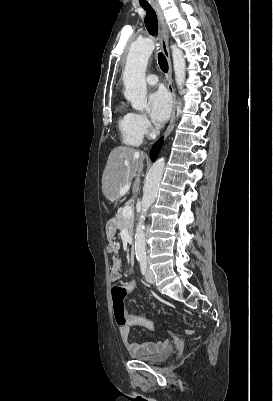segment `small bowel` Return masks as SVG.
<instances>
[{
  "label": "small bowel",
  "mask_w": 273,
  "mask_h": 401,
  "mask_svg": "<svg viewBox=\"0 0 273 401\" xmlns=\"http://www.w3.org/2000/svg\"><path fill=\"white\" fill-rule=\"evenodd\" d=\"M121 268H122V260L118 257H114L111 260L110 266V280L112 282H117L121 278ZM127 323L119 328V334L122 341L129 347V350L134 356H143V355H155L165 350L168 347V343L166 341L159 342H145L142 344H133L129 341V329L131 327H138L153 330L154 326L150 319L146 316L135 315L132 313H126ZM187 334L192 332L190 327L185 329Z\"/></svg>",
  "instance_id": "small-bowel-1"
}]
</instances>
